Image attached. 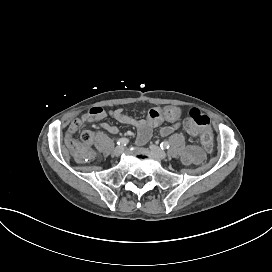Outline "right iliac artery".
I'll return each mask as SVG.
<instances>
[{"instance_id":"1","label":"right iliac artery","mask_w":272,"mask_h":272,"mask_svg":"<svg viewBox=\"0 0 272 272\" xmlns=\"http://www.w3.org/2000/svg\"><path fill=\"white\" fill-rule=\"evenodd\" d=\"M129 143V140L127 138H121L117 141L118 145L126 146Z\"/></svg>"}]
</instances>
